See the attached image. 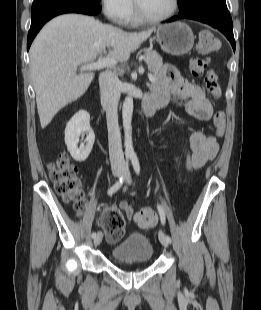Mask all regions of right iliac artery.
Instances as JSON below:
<instances>
[{
  "label": "right iliac artery",
  "mask_w": 261,
  "mask_h": 310,
  "mask_svg": "<svg viewBox=\"0 0 261 310\" xmlns=\"http://www.w3.org/2000/svg\"><path fill=\"white\" fill-rule=\"evenodd\" d=\"M128 171H129V164H128V159H127L123 175L119 178V180L110 189H108V191H107L108 195H112L113 193H115L116 191H118L120 189V187L123 185V183L127 177ZM91 236H92V238H94L96 236V233L93 232L91 234Z\"/></svg>",
  "instance_id": "obj_1"
}]
</instances>
